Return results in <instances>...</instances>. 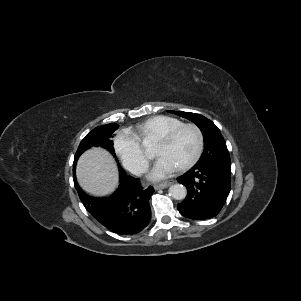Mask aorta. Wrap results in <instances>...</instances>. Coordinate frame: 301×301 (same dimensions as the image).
I'll use <instances>...</instances> for the list:
<instances>
[{"label": "aorta", "mask_w": 301, "mask_h": 301, "mask_svg": "<svg viewBox=\"0 0 301 301\" xmlns=\"http://www.w3.org/2000/svg\"><path fill=\"white\" fill-rule=\"evenodd\" d=\"M169 195L176 200H182L187 195V189L181 184H175L169 188Z\"/></svg>", "instance_id": "obj_1"}]
</instances>
